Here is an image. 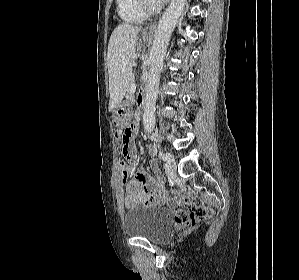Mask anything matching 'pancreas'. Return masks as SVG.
Wrapping results in <instances>:
<instances>
[{"label":"pancreas","instance_id":"1","mask_svg":"<svg viewBox=\"0 0 299 280\" xmlns=\"http://www.w3.org/2000/svg\"><path fill=\"white\" fill-rule=\"evenodd\" d=\"M134 83V79H133V77H131V79H130V82H129V87H128V95L131 97V93H130V86H131V84H133Z\"/></svg>","mask_w":299,"mask_h":280}]
</instances>
